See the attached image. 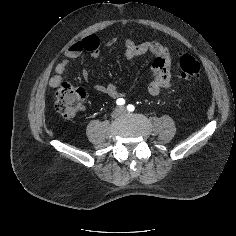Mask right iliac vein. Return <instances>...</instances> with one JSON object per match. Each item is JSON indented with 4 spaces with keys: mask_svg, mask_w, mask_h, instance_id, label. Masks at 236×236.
Instances as JSON below:
<instances>
[{
    "mask_svg": "<svg viewBox=\"0 0 236 236\" xmlns=\"http://www.w3.org/2000/svg\"><path fill=\"white\" fill-rule=\"evenodd\" d=\"M124 113V109L123 108H117L112 112V117L116 118L119 117L120 115H122Z\"/></svg>",
    "mask_w": 236,
    "mask_h": 236,
    "instance_id": "obj_1",
    "label": "right iliac vein"
}]
</instances>
